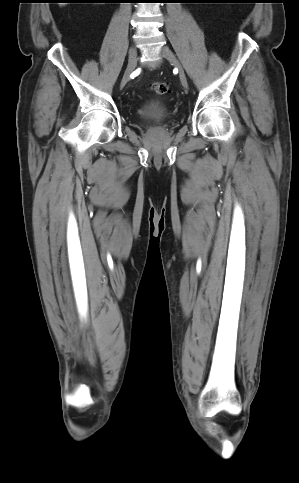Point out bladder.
<instances>
[{"label": "bladder", "instance_id": "bladder-1", "mask_svg": "<svg viewBox=\"0 0 299 483\" xmlns=\"http://www.w3.org/2000/svg\"><path fill=\"white\" fill-rule=\"evenodd\" d=\"M169 115L168 109L161 103L150 101L139 111V117L143 120H161Z\"/></svg>", "mask_w": 299, "mask_h": 483}]
</instances>
